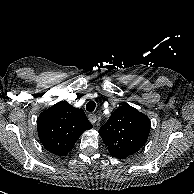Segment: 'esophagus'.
I'll use <instances>...</instances> for the list:
<instances>
[{"label": "esophagus", "instance_id": "obj_1", "mask_svg": "<svg viewBox=\"0 0 194 194\" xmlns=\"http://www.w3.org/2000/svg\"><path fill=\"white\" fill-rule=\"evenodd\" d=\"M88 119L92 124H94L97 121V116L95 114H89Z\"/></svg>", "mask_w": 194, "mask_h": 194}]
</instances>
